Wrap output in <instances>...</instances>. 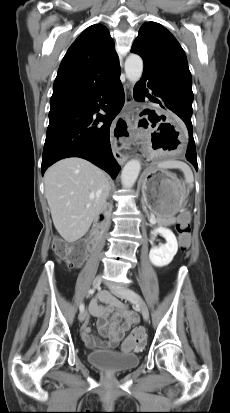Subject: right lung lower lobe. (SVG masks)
Segmentation results:
<instances>
[{"label": "right lung lower lobe", "mask_w": 230, "mask_h": 413, "mask_svg": "<svg viewBox=\"0 0 230 413\" xmlns=\"http://www.w3.org/2000/svg\"><path fill=\"white\" fill-rule=\"evenodd\" d=\"M120 73L91 95L51 104L42 155V175L56 161L84 158L116 178L120 166L111 150L109 128L124 104ZM103 109L107 115L97 114ZM103 122V125H97Z\"/></svg>", "instance_id": "1"}]
</instances>
